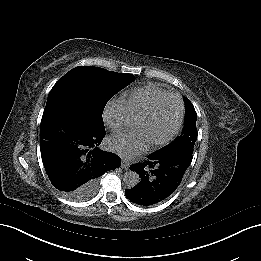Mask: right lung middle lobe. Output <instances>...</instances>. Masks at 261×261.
Instances as JSON below:
<instances>
[{
    "label": "right lung middle lobe",
    "mask_w": 261,
    "mask_h": 261,
    "mask_svg": "<svg viewBox=\"0 0 261 261\" xmlns=\"http://www.w3.org/2000/svg\"><path fill=\"white\" fill-rule=\"evenodd\" d=\"M133 79L98 67H77L63 76L52 88L47 105H63L91 114L103 125L105 104Z\"/></svg>",
    "instance_id": "1"
}]
</instances>
